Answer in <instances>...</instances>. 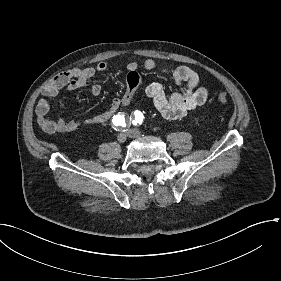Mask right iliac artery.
Instances as JSON below:
<instances>
[{
  "label": "right iliac artery",
  "mask_w": 281,
  "mask_h": 281,
  "mask_svg": "<svg viewBox=\"0 0 281 281\" xmlns=\"http://www.w3.org/2000/svg\"><path fill=\"white\" fill-rule=\"evenodd\" d=\"M112 124L116 131L124 132L130 126V118L129 116H125L124 113L119 112L113 116Z\"/></svg>",
  "instance_id": "obj_1"
}]
</instances>
